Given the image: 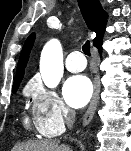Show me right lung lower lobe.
<instances>
[{
    "label": "right lung lower lobe",
    "instance_id": "right-lung-lower-lobe-1",
    "mask_svg": "<svg viewBox=\"0 0 131 151\" xmlns=\"http://www.w3.org/2000/svg\"><path fill=\"white\" fill-rule=\"evenodd\" d=\"M95 47L99 50V53L102 52V42L97 44V45H95Z\"/></svg>",
    "mask_w": 131,
    "mask_h": 151
}]
</instances>
